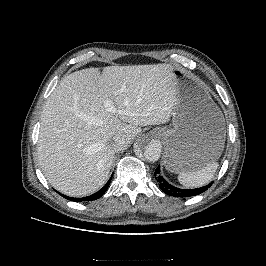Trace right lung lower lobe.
<instances>
[{
    "mask_svg": "<svg viewBox=\"0 0 266 266\" xmlns=\"http://www.w3.org/2000/svg\"><path fill=\"white\" fill-rule=\"evenodd\" d=\"M112 178V176H111ZM111 178L109 179V181L105 184V186L100 189L98 192L90 195V196H87V197H83V198H72V197H68V196H65V195H62L64 198L68 199V200H72V201H90V200H96L98 198H100L105 192L106 190L108 189V186L110 184V181H111Z\"/></svg>",
    "mask_w": 266,
    "mask_h": 266,
    "instance_id": "98d812e1",
    "label": "right lung lower lobe"
}]
</instances>
